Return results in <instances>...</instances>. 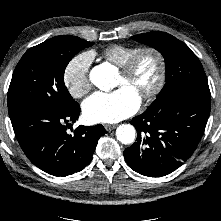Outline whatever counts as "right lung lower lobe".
Wrapping results in <instances>:
<instances>
[{"label": "right lung lower lobe", "mask_w": 221, "mask_h": 221, "mask_svg": "<svg viewBox=\"0 0 221 221\" xmlns=\"http://www.w3.org/2000/svg\"><path fill=\"white\" fill-rule=\"evenodd\" d=\"M80 114L79 104L65 111L28 107L9 113L15 136L28 159L54 176H67L87 166L104 127L79 126L67 132ZM72 130V129H71Z\"/></svg>", "instance_id": "1"}]
</instances>
